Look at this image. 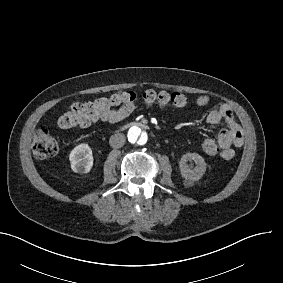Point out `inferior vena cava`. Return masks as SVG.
Listing matches in <instances>:
<instances>
[{"mask_svg": "<svg viewBox=\"0 0 283 283\" xmlns=\"http://www.w3.org/2000/svg\"><path fill=\"white\" fill-rule=\"evenodd\" d=\"M126 136L122 133H116L110 137L109 143L113 148H121L124 146Z\"/></svg>", "mask_w": 283, "mask_h": 283, "instance_id": "obj_1", "label": "inferior vena cava"}]
</instances>
